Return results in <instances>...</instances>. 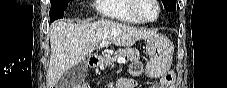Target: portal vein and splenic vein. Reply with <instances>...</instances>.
<instances>
[{"instance_id": "18ae733b", "label": "portal vein and splenic vein", "mask_w": 227, "mask_h": 88, "mask_svg": "<svg viewBox=\"0 0 227 88\" xmlns=\"http://www.w3.org/2000/svg\"><path fill=\"white\" fill-rule=\"evenodd\" d=\"M100 47H105V46H107L108 45V43L107 42H101L100 44ZM126 61V58L125 57H119L118 59H117V62H125Z\"/></svg>"}]
</instances>
